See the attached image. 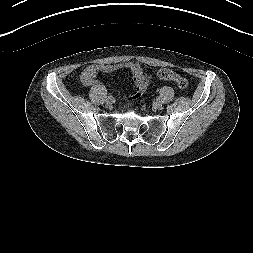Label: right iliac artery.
Instances as JSON below:
<instances>
[{
  "label": "right iliac artery",
  "mask_w": 253,
  "mask_h": 253,
  "mask_svg": "<svg viewBox=\"0 0 253 253\" xmlns=\"http://www.w3.org/2000/svg\"><path fill=\"white\" fill-rule=\"evenodd\" d=\"M111 97H112V96L109 94V95H108V99L111 98Z\"/></svg>",
  "instance_id": "obj_1"
}]
</instances>
